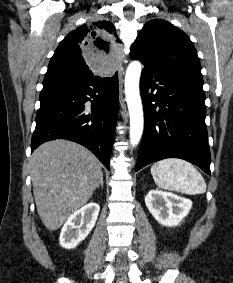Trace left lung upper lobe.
<instances>
[{"mask_svg": "<svg viewBox=\"0 0 233 283\" xmlns=\"http://www.w3.org/2000/svg\"><path fill=\"white\" fill-rule=\"evenodd\" d=\"M130 56L152 69H179L202 75L189 37L165 20L155 19L144 25L131 47Z\"/></svg>", "mask_w": 233, "mask_h": 283, "instance_id": "obj_1", "label": "left lung upper lobe"}]
</instances>
